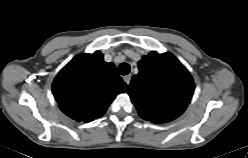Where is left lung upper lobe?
I'll use <instances>...</instances> for the list:
<instances>
[{
    "instance_id": "obj_1",
    "label": "left lung upper lobe",
    "mask_w": 248,
    "mask_h": 158,
    "mask_svg": "<svg viewBox=\"0 0 248 158\" xmlns=\"http://www.w3.org/2000/svg\"><path fill=\"white\" fill-rule=\"evenodd\" d=\"M128 94L141 118L153 123L169 122L187 108L195 84L188 70L171 53L155 51L138 62Z\"/></svg>"
}]
</instances>
